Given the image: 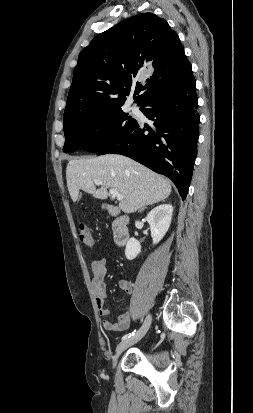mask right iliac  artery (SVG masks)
Listing matches in <instances>:
<instances>
[{
    "instance_id": "right-iliac-artery-1",
    "label": "right iliac artery",
    "mask_w": 253,
    "mask_h": 413,
    "mask_svg": "<svg viewBox=\"0 0 253 413\" xmlns=\"http://www.w3.org/2000/svg\"><path fill=\"white\" fill-rule=\"evenodd\" d=\"M136 330H134L132 333H128L126 335L123 336L122 340H126L128 338H130L131 336H133L135 334Z\"/></svg>"
}]
</instances>
